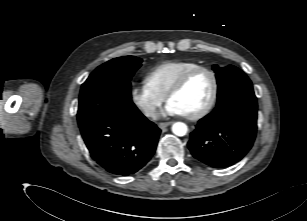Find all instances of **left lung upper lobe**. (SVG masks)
<instances>
[{
  "label": "left lung upper lobe",
  "mask_w": 307,
  "mask_h": 221,
  "mask_svg": "<svg viewBox=\"0 0 307 221\" xmlns=\"http://www.w3.org/2000/svg\"><path fill=\"white\" fill-rule=\"evenodd\" d=\"M218 83L217 106L239 96H253L254 91L249 78L238 68L213 66Z\"/></svg>",
  "instance_id": "obj_1"
}]
</instances>
